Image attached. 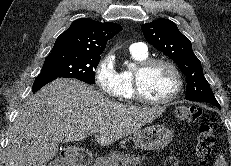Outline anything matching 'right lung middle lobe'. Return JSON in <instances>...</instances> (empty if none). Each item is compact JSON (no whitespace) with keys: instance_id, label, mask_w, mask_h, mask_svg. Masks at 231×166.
Masks as SVG:
<instances>
[{"instance_id":"1","label":"right lung middle lobe","mask_w":231,"mask_h":166,"mask_svg":"<svg viewBox=\"0 0 231 166\" xmlns=\"http://www.w3.org/2000/svg\"><path fill=\"white\" fill-rule=\"evenodd\" d=\"M100 55L70 50L51 51L46 57L40 74L75 78L88 84L95 83V69Z\"/></svg>"}]
</instances>
